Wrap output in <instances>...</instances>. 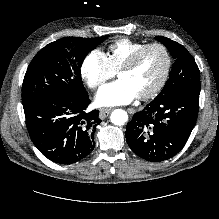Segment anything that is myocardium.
Instances as JSON below:
<instances>
[{"label": "myocardium", "instance_id": "f54148a6", "mask_svg": "<svg viewBox=\"0 0 219 219\" xmlns=\"http://www.w3.org/2000/svg\"><path fill=\"white\" fill-rule=\"evenodd\" d=\"M160 48L166 58V65L163 71L162 76L160 77L159 81L155 84V86L149 90L148 92L142 93L140 95H138L137 97L141 100H148L150 98L155 97L165 86L171 69H172V56L171 53L169 51V49L167 48L166 45H164L163 43L160 42H152V43H148L145 44L144 46H142L140 49H138L135 53H133L123 64L122 66L118 69L117 74L119 75L120 72L122 71H126V70H130L131 68H133L137 62L139 61V59L141 58V56L150 48Z\"/></svg>", "mask_w": 219, "mask_h": 219}]
</instances>
